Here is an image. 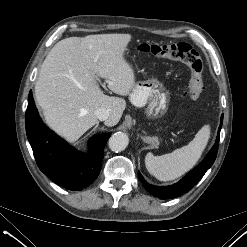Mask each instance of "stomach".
<instances>
[{"label": "stomach", "mask_w": 247, "mask_h": 247, "mask_svg": "<svg viewBox=\"0 0 247 247\" xmlns=\"http://www.w3.org/2000/svg\"><path fill=\"white\" fill-rule=\"evenodd\" d=\"M130 101L137 107H146V115L150 118H159L165 115L169 108L170 93L157 79L152 78L135 83Z\"/></svg>", "instance_id": "obj_1"}]
</instances>
